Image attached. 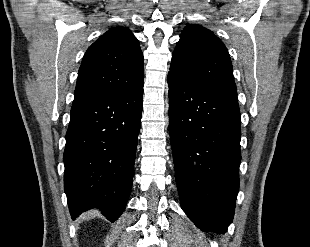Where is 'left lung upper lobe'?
I'll list each match as a JSON object with an SVG mask.
<instances>
[{"label":"left lung upper lobe","mask_w":310,"mask_h":247,"mask_svg":"<svg viewBox=\"0 0 310 247\" xmlns=\"http://www.w3.org/2000/svg\"><path fill=\"white\" fill-rule=\"evenodd\" d=\"M169 73L237 95L232 63L224 43L200 25L189 24L182 31Z\"/></svg>","instance_id":"1"}]
</instances>
